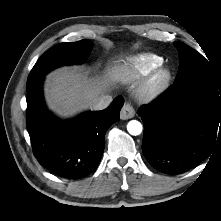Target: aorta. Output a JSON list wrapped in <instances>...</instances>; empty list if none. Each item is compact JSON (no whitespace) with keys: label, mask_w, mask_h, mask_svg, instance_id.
Instances as JSON below:
<instances>
[{"label":"aorta","mask_w":221,"mask_h":221,"mask_svg":"<svg viewBox=\"0 0 221 221\" xmlns=\"http://www.w3.org/2000/svg\"><path fill=\"white\" fill-rule=\"evenodd\" d=\"M127 131L133 136L140 135L142 132V124L137 120H131L127 124Z\"/></svg>","instance_id":"aorta-1"}]
</instances>
